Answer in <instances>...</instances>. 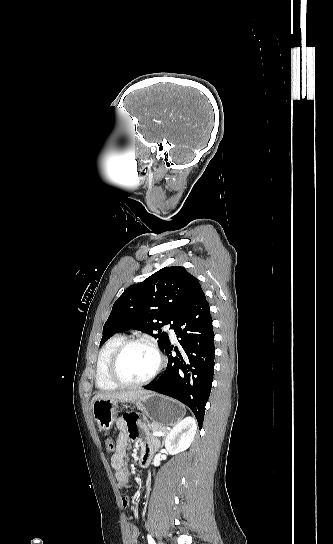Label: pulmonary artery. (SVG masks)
Here are the masks:
<instances>
[{
    "label": "pulmonary artery",
    "instance_id": "obj_1",
    "mask_svg": "<svg viewBox=\"0 0 333 544\" xmlns=\"http://www.w3.org/2000/svg\"><path fill=\"white\" fill-rule=\"evenodd\" d=\"M168 329H169L170 337H171L173 340H176V334H175L174 330L171 328L170 325H168Z\"/></svg>",
    "mask_w": 333,
    "mask_h": 544
}]
</instances>
